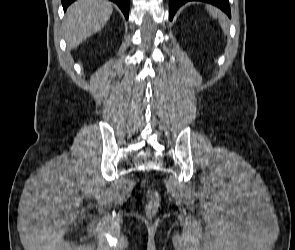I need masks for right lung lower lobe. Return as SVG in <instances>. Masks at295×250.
Here are the masks:
<instances>
[{
  "mask_svg": "<svg viewBox=\"0 0 295 250\" xmlns=\"http://www.w3.org/2000/svg\"><path fill=\"white\" fill-rule=\"evenodd\" d=\"M75 0H62V6L64 11L67 9V7L74 2ZM112 2H115L120 9L122 10V12L124 13L126 19L128 18V14H129V2L130 0H111Z\"/></svg>",
  "mask_w": 295,
  "mask_h": 250,
  "instance_id": "obj_1",
  "label": "right lung lower lobe"
}]
</instances>
